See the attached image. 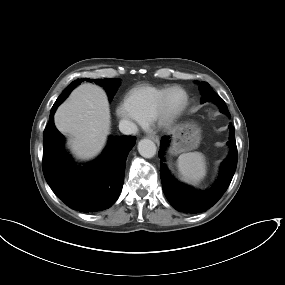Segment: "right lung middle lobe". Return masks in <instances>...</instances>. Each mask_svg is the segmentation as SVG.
I'll return each mask as SVG.
<instances>
[{
    "mask_svg": "<svg viewBox=\"0 0 285 285\" xmlns=\"http://www.w3.org/2000/svg\"><path fill=\"white\" fill-rule=\"evenodd\" d=\"M88 81V82H95L99 85H101L107 92L108 94V97L109 99H112L114 94L116 93L117 91V88L119 86V79L117 78H110V79H87V78H84V79H77L75 81H73L63 92L62 94L65 93L66 90H69V89H74L77 85H79L81 82L83 81ZM61 96V95H60ZM59 96V97H60Z\"/></svg>",
    "mask_w": 285,
    "mask_h": 285,
    "instance_id": "obj_1",
    "label": "right lung middle lobe"
}]
</instances>
